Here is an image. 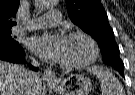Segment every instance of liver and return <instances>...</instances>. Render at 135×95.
I'll list each match as a JSON object with an SVG mask.
<instances>
[{
  "mask_svg": "<svg viewBox=\"0 0 135 95\" xmlns=\"http://www.w3.org/2000/svg\"><path fill=\"white\" fill-rule=\"evenodd\" d=\"M27 70L16 64L0 61V95H40L42 79L37 75L32 85L26 79Z\"/></svg>",
  "mask_w": 135,
  "mask_h": 95,
  "instance_id": "1",
  "label": "liver"
}]
</instances>
